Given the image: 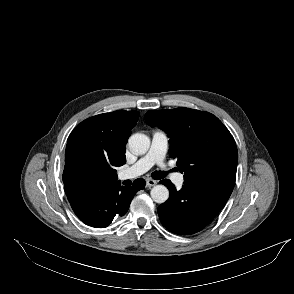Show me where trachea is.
Wrapping results in <instances>:
<instances>
[{"label":"trachea","mask_w":294,"mask_h":294,"mask_svg":"<svg viewBox=\"0 0 294 294\" xmlns=\"http://www.w3.org/2000/svg\"><path fill=\"white\" fill-rule=\"evenodd\" d=\"M165 175H166L165 172H162V171H155L152 173V177L156 180L164 178Z\"/></svg>","instance_id":"3493384b"}]
</instances>
